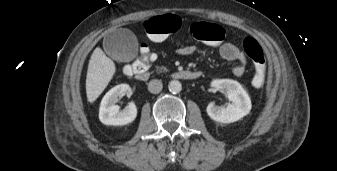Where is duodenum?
<instances>
[{"instance_id":"duodenum-1","label":"duodenum","mask_w":337,"mask_h":171,"mask_svg":"<svg viewBox=\"0 0 337 171\" xmlns=\"http://www.w3.org/2000/svg\"><path fill=\"white\" fill-rule=\"evenodd\" d=\"M134 76L138 80H147L149 77L147 69H140L135 67L133 70ZM202 73L200 71H190V70H182L173 73V77L181 80H195L200 78Z\"/></svg>"}]
</instances>
